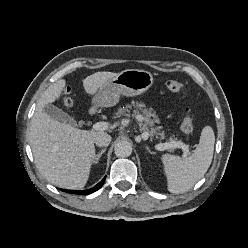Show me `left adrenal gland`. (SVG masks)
Instances as JSON below:
<instances>
[{"instance_id": "a2214340", "label": "left adrenal gland", "mask_w": 248, "mask_h": 248, "mask_svg": "<svg viewBox=\"0 0 248 248\" xmlns=\"http://www.w3.org/2000/svg\"><path fill=\"white\" fill-rule=\"evenodd\" d=\"M145 148L147 149V151H148L150 154H154V152H152L148 146H145Z\"/></svg>"}]
</instances>
